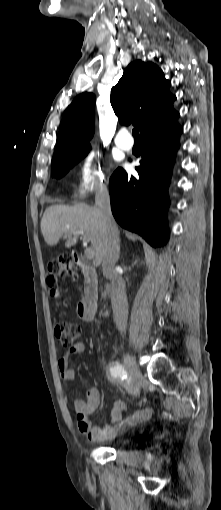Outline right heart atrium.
<instances>
[{
  "instance_id": "1",
  "label": "right heart atrium",
  "mask_w": 221,
  "mask_h": 510,
  "mask_svg": "<svg viewBox=\"0 0 221 510\" xmlns=\"http://www.w3.org/2000/svg\"><path fill=\"white\" fill-rule=\"evenodd\" d=\"M105 184L102 158L91 151L85 152L79 164L78 176L73 189L74 194L83 196L93 190L103 188Z\"/></svg>"
}]
</instances>
